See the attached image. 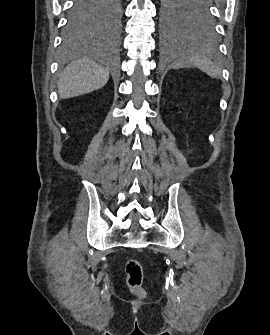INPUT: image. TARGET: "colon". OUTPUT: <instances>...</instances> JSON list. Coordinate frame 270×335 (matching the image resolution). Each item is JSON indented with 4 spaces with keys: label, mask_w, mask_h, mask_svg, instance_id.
<instances>
[{
    "label": "colon",
    "mask_w": 270,
    "mask_h": 335,
    "mask_svg": "<svg viewBox=\"0 0 270 335\" xmlns=\"http://www.w3.org/2000/svg\"><path fill=\"white\" fill-rule=\"evenodd\" d=\"M126 285L138 297L144 295L143 272L140 262L136 258H129L125 262Z\"/></svg>",
    "instance_id": "obj_1"
}]
</instances>
